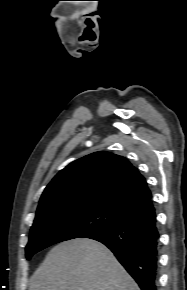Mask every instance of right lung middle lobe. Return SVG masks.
I'll list each match as a JSON object with an SVG mask.
<instances>
[{"mask_svg":"<svg viewBox=\"0 0 187 290\" xmlns=\"http://www.w3.org/2000/svg\"><path fill=\"white\" fill-rule=\"evenodd\" d=\"M112 208L92 205L58 211L35 219L26 246V257L58 242L87 237L127 221Z\"/></svg>","mask_w":187,"mask_h":290,"instance_id":"obj_1","label":"right lung middle lobe"}]
</instances>
